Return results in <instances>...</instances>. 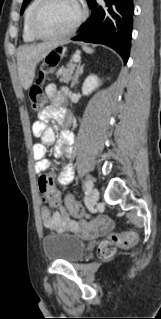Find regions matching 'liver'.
I'll return each mask as SVG.
<instances>
[{"label":"liver","instance_id":"1","mask_svg":"<svg viewBox=\"0 0 161 319\" xmlns=\"http://www.w3.org/2000/svg\"><path fill=\"white\" fill-rule=\"evenodd\" d=\"M56 46L54 42H43L36 45H24L17 51L18 74L22 87L27 90L35 77L39 61Z\"/></svg>","mask_w":161,"mask_h":319}]
</instances>
